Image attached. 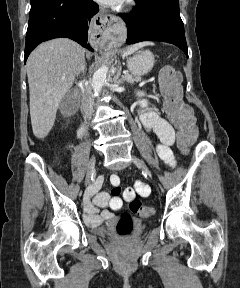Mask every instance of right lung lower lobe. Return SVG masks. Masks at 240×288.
<instances>
[{"label":"right lung lower lobe","mask_w":240,"mask_h":288,"mask_svg":"<svg viewBox=\"0 0 240 288\" xmlns=\"http://www.w3.org/2000/svg\"><path fill=\"white\" fill-rule=\"evenodd\" d=\"M98 12L92 0H39L31 4L24 62L41 42L58 37L70 38L93 51L88 40V25Z\"/></svg>","instance_id":"obj_1"}]
</instances>
